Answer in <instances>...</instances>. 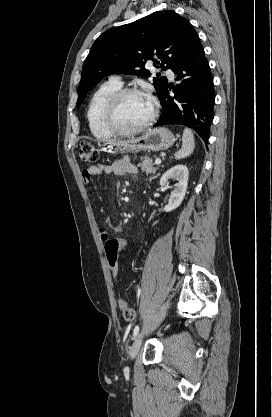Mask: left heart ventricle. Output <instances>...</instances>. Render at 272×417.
<instances>
[{
    "instance_id": "obj_1",
    "label": "left heart ventricle",
    "mask_w": 272,
    "mask_h": 417,
    "mask_svg": "<svg viewBox=\"0 0 272 417\" xmlns=\"http://www.w3.org/2000/svg\"><path fill=\"white\" fill-rule=\"evenodd\" d=\"M151 113L152 105L146 97L130 95L121 102L116 114V123L121 128L131 129L147 121Z\"/></svg>"
}]
</instances>
